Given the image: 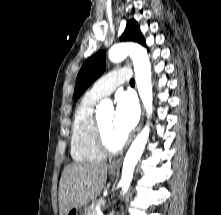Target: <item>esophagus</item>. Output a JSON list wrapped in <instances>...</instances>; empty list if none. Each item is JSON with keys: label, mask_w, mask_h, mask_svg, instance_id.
Here are the masks:
<instances>
[{"label": "esophagus", "mask_w": 221, "mask_h": 215, "mask_svg": "<svg viewBox=\"0 0 221 215\" xmlns=\"http://www.w3.org/2000/svg\"><path fill=\"white\" fill-rule=\"evenodd\" d=\"M143 121H144V110L142 109V116H141V120H140V124L138 126V131L141 129L142 125H143ZM122 162V158H119L115 161H113L110 165V168L111 169H116L119 167V165L121 164Z\"/></svg>", "instance_id": "obj_1"}]
</instances>
